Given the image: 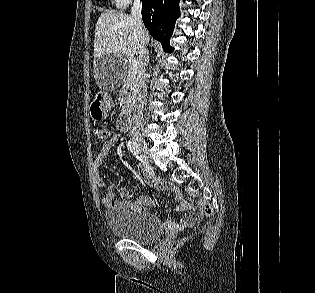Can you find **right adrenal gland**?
Here are the masks:
<instances>
[{"instance_id": "right-adrenal-gland-1", "label": "right adrenal gland", "mask_w": 315, "mask_h": 293, "mask_svg": "<svg viewBox=\"0 0 315 293\" xmlns=\"http://www.w3.org/2000/svg\"><path fill=\"white\" fill-rule=\"evenodd\" d=\"M149 60H150V56H149V51H148V52L146 53V58H145L146 66H148Z\"/></svg>"}]
</instances>
